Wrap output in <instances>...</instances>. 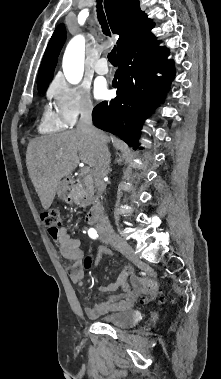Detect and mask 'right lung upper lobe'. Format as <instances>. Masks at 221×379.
<instances>
[{"mask_svg": "<svg viewBox=\"0 0 221 379\" xmlns=\"http://www.w3.org/2000/svg\"><path fill=\"white\" fill-rule=\"evenodd\" d=\"M107 18L111 30L119 34L117 52L134 42L154 24L141 11L139 0H105ZM66 31L60 24L54 31L45 51L37 77V87L47 86L52 80L54 68L57 63L59 52L64 44Z\"/></svg>", "mask_w": 221, "mask_h": 379, "instance_id": "cb5924a9", "label": "right lung upper lobe"}]
</instances>
